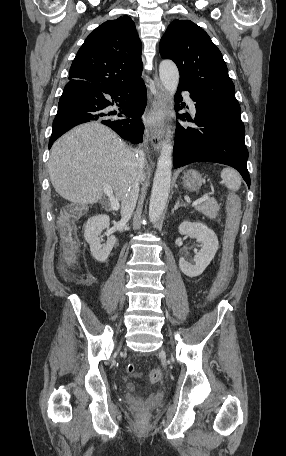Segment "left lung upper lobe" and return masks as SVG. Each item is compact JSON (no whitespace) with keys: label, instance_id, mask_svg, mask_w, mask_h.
Listing matches in <instances>:
<instances>
[{"label":"left lung upper lobe","instance_id":"5c2ea615","mask_svg":"<svg viewBox=\"0 0 286 456\" xmlns=\"http://www.w3.org/2000/svg\"><path fill=\"white\" fill-rule=\"evenodd\" d=\"M160 54L176 63L179 85L188 87L193 94L240 110L222 54L201 27L190 20H174L160 41Z\"/></svg>","mask_w":286,"mask_h":456}]
</instances>
